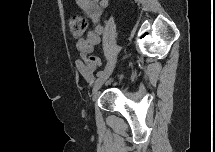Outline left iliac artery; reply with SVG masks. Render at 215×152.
I'll return each mask as SVG.
<instances>
[{
	"mask_svg": "<svg viewBox=\"0 0 215 152\" xmlns=\"http://www.w3.org/2000/svg\"><path fill=\"white\" fill-rule=\"evenodd\" d=\"M107 65H108V64H107ZM102 74H103L102 71H99V72H97L96 76L99 77V76H101Z\"/></svg>",
	"mask_w": 215,
	"mask_h": 152,
	"instance_id": "obj_1",
	"label": "left iliac artery"
}]
</instances>
